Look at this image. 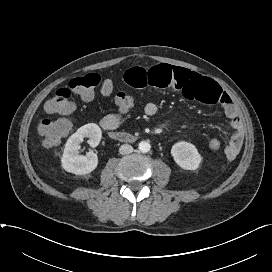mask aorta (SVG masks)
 Masks as SVG:
<instances>
[{"label":"aorta","instance_id":"obj_1","mask_svg":"<svg viewBox=\"0 0 272 272\" xmlns=\"http://www.w3.org/2000/svg\"><path fill=\"white\" fill-rule=\"evenodd\" d=\"M150 143L147 141H141L138 145V149L143 152V153H147L150 151Z\"/></svg>","mask_w":272,"mask_h":272}]
</instances>
